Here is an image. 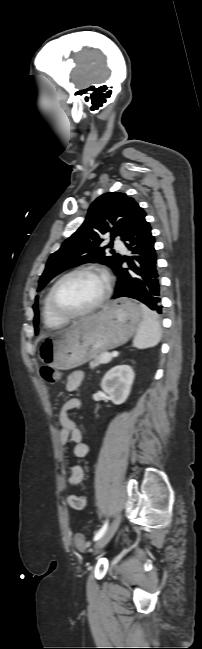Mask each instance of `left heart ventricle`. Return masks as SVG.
<instances>
[{
	"label": "left heart ventricle",
	"mask_w": 202,
	"mask_h": 649,
	"mask_svg": "<svg viewBox=\"0 0 202 649\" xmlns=\"http://www.w3.org/2000/svg\"><path fill=\"white\" fill-rule=\"evenodd\" d=\"M105 288L103 278L97 274H76L65 279L56 291L58 303L66 310L81 311L93 305Z\"/></svg>",
	"instance_id": "obj_1"
}]
</instances>
